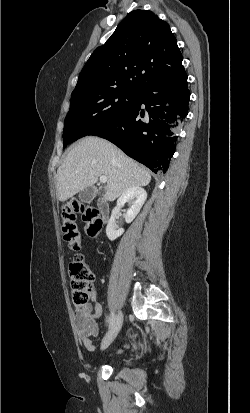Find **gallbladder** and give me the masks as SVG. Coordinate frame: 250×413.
Returning <instances> with one entry per match:
<instances>
[{
  "instance_id": "gallbladder-1",
  "label": "gallbladder",
  "mask_w": 250,
  "mask_h": 413,
  "mask_svg": "<svg viewBox=\"0 0 250 413\" xmlns=\"http://www.w3.org/2000/svg\"><path fill=\"white\" fill-rule=\"evenodd\" d=\"M99 193L103 194L104 189H101ZM95 195V188L87 187L80 192L79 199L84 203H90L94 199Z\"/></svg>"
}]
</instances>
